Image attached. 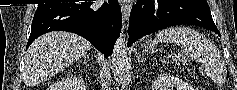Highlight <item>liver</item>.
<instances>
[{
  "label": "liver",
  "instance_id": "6515ba94",
  "mask_svg": "<svg viewBox=\"0 0 237 90\" xmlns=\"http://www.w3.org/2000/svg\"><path fill=\"white\" fill-rule=\"evenodd\" d=\"M92 50V44L70 32H49L37 38L24 56L27 84L35 86L63 72Z\"/></svg>",
  "mask_w": 237,
  "mask_h": 90
}]
</instances>
